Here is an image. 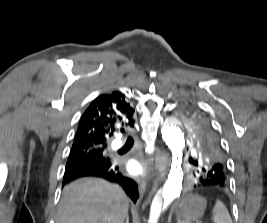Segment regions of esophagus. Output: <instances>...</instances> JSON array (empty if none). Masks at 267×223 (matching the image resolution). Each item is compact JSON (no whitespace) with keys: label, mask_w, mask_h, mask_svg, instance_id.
<instances>
[{"label":"esophagus","mask_w":267,"mask_h":223,"mask_svg":"<svg viewBox=\"0 0 267 223\" xmlns=\"http://www.w3.org/2000/svg\"><path fill=\"white\" fill-rule=\"evenodd\" d=\"M169 161H170V158L167 153L159 152V156L156 160L155 168L158 170L160 177H163L167 173L168 167H169ZM140 191L141 193L145 191L144 182H140Z\"/></svg>","instance_id":"esophagus-1"}]
</instances>
